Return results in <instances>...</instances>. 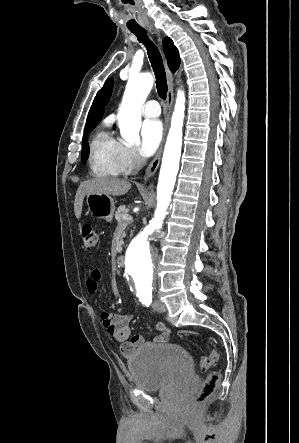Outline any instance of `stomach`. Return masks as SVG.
<instances>
[{
  "mask_svg": "<svg viewBox=\"0 0 299 443\" xmlns=\"http://www.w3.org/2000/svg\"><path fill=\"white\" fill-rule=\"evenodd\" d=\"M88 211L99 219L111 222L115 211L113 198L105 194L89 193L86 197Z\"/></svg>",
  "mask_w": 299,
  "mask_h": 443,
  "instance_id": "1",
  "label": "stomach"
}]
</instances>
